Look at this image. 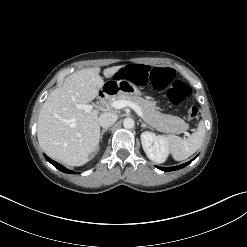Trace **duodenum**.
Returning a JSON list of instances; mask_svg holds the SVG:
<instances>
[{
  "label": "duodenum",
  "mask_w": 247,
  "mask_h": 247,
  "mask_svg": "<svg viewBox=\"0 0 247 247\" xmlns=\"http://www.w3.org/2000/svg\"><path fill=\"white\" fill-rule=\"evenodd\" d=\"M118 88L115 85H105L98 93V99L101 101L110 94H115Z\"/></svg>",
  "instance_id": "duodenum-1"
}]
</instances>
